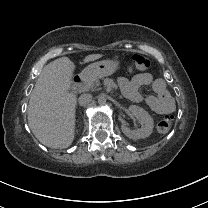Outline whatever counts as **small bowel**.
Here are the masks:
<instances>
[{"instance_id":"obj_1","label":"small bowel","mask_w":208,"mask_h":208,"mask_svg":"<svg viewBox=\"0 0 208 208\" xmlns=\"http://www.w3.org/2000/svg\"><path fill=\"white\" fill-rule=\"evenodd\" d=\"M118 85L128 100L134 103L145 101L149 108L157 114L167 115L175 110L174 102L162 78H154L149 73H140L131 79L120 77ZM145 86H150L155 95H149L144 98L139 89Z\"/></svg>"}]
</instances>
